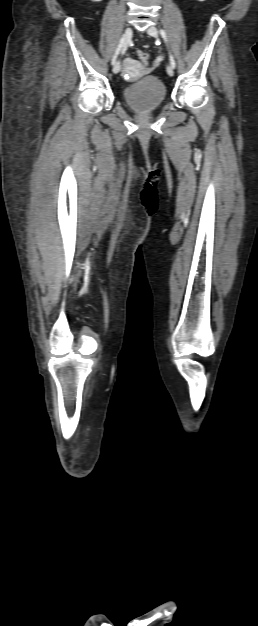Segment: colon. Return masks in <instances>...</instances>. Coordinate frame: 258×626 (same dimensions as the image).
<instances>
[{
	"instance_id": "1",
	"label": "colon",
	"mask_w": 258,
	"mask_h": 626,
	"mask_svg": "<svg viewBox=\"0 0 258 626\" xmlns=\"http://www.w3.org/2000/svg\"><path fill=\"white\" fill-rule=\"evenodd\" d=\"M137 56L143 63H146L148 61V54L145 51L138 50Z\"/></svg>"
}]
</instances>
